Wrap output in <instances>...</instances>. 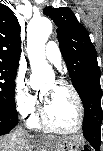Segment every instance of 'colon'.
I'll list each match as a JSON object with an SVG mask.
<instances>
[{
	"instance_id": "5ec220e1",
	"label": "colon",
	"mask_w": 103,
	"mask_h": 151,
	"mask_svg": "<svg viewBox=\"0 0 103 151\" xmlns=\"http://www.w3.org/2000/svg\"><path fill=\"white\" fill-rule=\"evenodd\" d=\"M84 151H91L88 147L84 148Z\"/></svg>"
}]
</instances>
